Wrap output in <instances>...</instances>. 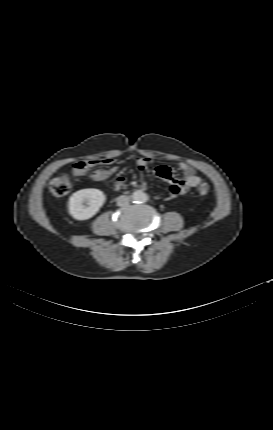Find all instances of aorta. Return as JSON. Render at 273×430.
<instances>
[{
    "label": "aorta",
    "mask_w": 273,
    "mask_h": 430,
    "mask_svg": "<svg viewBox=\"0 0 273 430\" xmlns=\"http://www.w3.org/2000/svg\"><path fill=\"white\" fill-rule=\"evenodd\" d=\"M131 197L132 200L137 203H142L147 200V195L142 190H136Z\"/></svg>",
    "instance_id": "aorta-1"
}]
</instances>
